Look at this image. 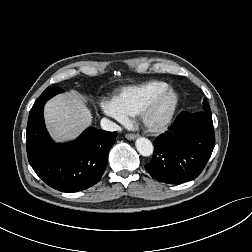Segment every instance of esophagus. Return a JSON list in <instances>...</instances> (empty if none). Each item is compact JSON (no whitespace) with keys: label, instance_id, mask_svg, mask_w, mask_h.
<instances>
[{"label":"esophagus","instance_id":"esophagus-1","mask_svg":"<svg viewBox=\"0 0 252 252\" xmlns=\"http://www.w3.org/2000/svg\"><path fill=\"white\" fill-rule=\"evenodd\" d=\"M125 137L128 139V140H134L138 137V134H132V133H128L125 135Z\"/></svg>","mask_w":252,"mask_h":252}]
</instances>
